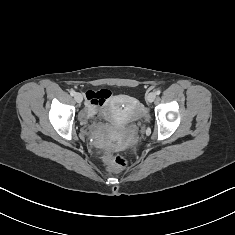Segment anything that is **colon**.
<instances>
[{"label": "colon", "instance_id": "obj_1", "mask_svg": "<svg viewBox=\"0 0 235 235\" xmlns=\"http://www.w3.org/2000/svg\"><path fill=\"white\" fill-rule=\"evenodd\" d=\"M104 161L106 164V168L109 171H120L123 168H125L128 163L127 159L123 155L120 154L113 155L110 153H107L105 155Z\"/></svg>", "mask_w": 235, "mask_h": 235}]
</instances>
